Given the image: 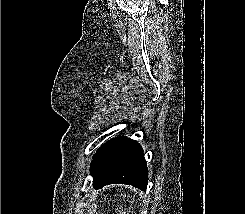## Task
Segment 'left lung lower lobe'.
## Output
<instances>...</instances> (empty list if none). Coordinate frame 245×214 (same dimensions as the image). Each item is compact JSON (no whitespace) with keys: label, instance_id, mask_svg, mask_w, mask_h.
<instances>
[{"label":"left lung lower lobe","instance_id":"obj_1","mask_svg":"<svg viewBox=\"0 0 245 214\" xmlns=\"http://www.w3.org/2000/svg\"><path fill=\"white\" fill-rule=\"evenodd\" d=\"M90 174L95 189L108 184H128L144 191L148 183L143 149L125 136L115 137L97 150Z\"/></svg>","mask_w":245,"mask_h":214}]
</instances>
